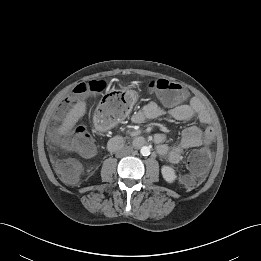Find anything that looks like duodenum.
Wrapping results in <instances>:
<instances>
[{"label":"duodenum","mask_w":261,"mask_h":261,"mask_svg":"<svg viewBox=\"0 0 261 261\" xmlns=\"http://www.w3.org/2000/svg\"><path fill=\"white\" fill-rule=\"evenodd\" d=\"M145 143H146V139L144 137L138 136L133 139V144L135 146H142ZM124 144H125L124 139L120 136H116L108 141V149L114 151L122 148Z\"/></svg>","instance_id":"1"}]
</instances>
